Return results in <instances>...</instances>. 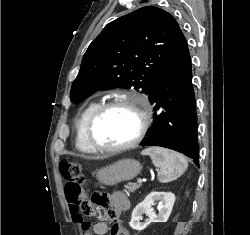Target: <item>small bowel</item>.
I'll return each mask as SVG.
<instances>
[{
  "label": "small bowel",
  "mask_w": 250,
  "mask_h": 235,
  "mask_svg": "<svg viewBox=\"0 0 250 235\" xmlns=\"http://www.w3.org/2000/svg\"><path fill=\"white\" fill-rule=\"evenodd\" d=\"M68 206L74 222L81 225L83 235H129L128 230L118 221L119 214L129 207V201L122 192H114L107 200L99 204L112 221L110 228L104 221L97 222L92 229L90 228V224L85 221V217L94 215L95 210L88 202L79 205L68 200ZM81 207L85 208L82 209Z\"/></svg>",
  "instance_id": "1"
}]
</instances>
